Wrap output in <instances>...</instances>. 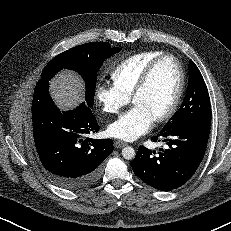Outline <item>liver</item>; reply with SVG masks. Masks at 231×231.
<instances>
[{"label": "liver", "instance_id": "1", "mask_svg": "<svg viewBox=\"0 0 231 231\" xmlns=\"http://www.w3.org/2000/svg\"><path fill=\"white\" fill-rule=\"evenodd\" d=\"M53 99L61 110H67L84 101L82 81L71 72H62L50 83Z\"/></svg>", "mask_w": 231, "mask_h": 231}]
</instances>
